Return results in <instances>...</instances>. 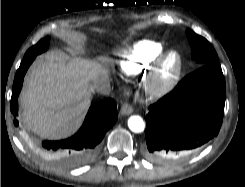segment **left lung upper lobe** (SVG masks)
<instances>
[{
	"mask_svg": "<svg viewBox=\"0 0 245 187\" xmlns=\"http://www.w3.org/2000/svg\"><path fill=\"white\" fill-rule=\"evenodd\" d=\"M186 35L192 47V58L199 66L217 61L216 51L205 38L197 35L190 29L186 30Z\"/></svg>",
	"mask_w": 245,
	"mask_h": 187,
	"instance_id": "obj_1",
	"label": "left lung upper lobe"
}]
</instances>
